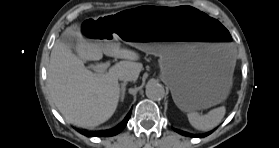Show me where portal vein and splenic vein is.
Listing matches in <instances>:
<instances>
[{"mask_svg": "<svg viewBox=\"0 0 279 148\" xmlns=\"http://www.w3.org/2000/svg\"><path fill=\"white\" fill-rule=\"evenodd\" d=\"M109 65H110L109 62L101 63L96 66H93L92 69L97 73H104L109 67Z\"/></svg>", "mask_w": 279, "mask_h": 148, "instance_id": "obj_1", "label": "portal vein and splenic vein"}]
</instances>
